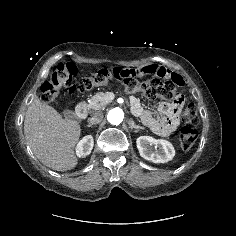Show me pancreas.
<instances>
[{
	"instance_id": "obj_1",
	"label": "pancreas",
	"mask_w": 236,
	"mask_h": 236,
	"mask_svg": "<svg viewBox=\"0 0 236 236\" xmlns=\"http://www.w3.org/2000/svg\"><path fill=\"white\" fill-rule=\"evenodd\" d=\"M109 95L110 92L96 93L93 97H91L88 108L96 111L103 109L110 102Z\"/></svg>"
}]
</instances>
